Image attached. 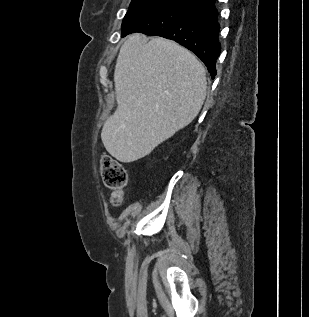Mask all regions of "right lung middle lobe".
<instances>
[{
    "mask_svg": "<svg viewBox=\"0 0 309 317\" xmlns=\"http://www.w3.org/2000/svg\"><path fill=\"white\" fill-rule=\"evenodd\" d=\"M176 1L178 0H132L122 23V32L139 18Z\"/></svg>",
    "mask_w": 309,
    "mask_h": 317,
    "instance_id": "obj_1",
    "label": "right lung middle lobe"
}]
</instances>
